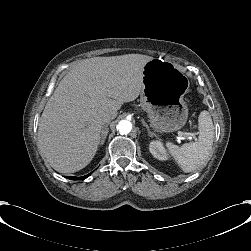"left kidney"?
I'll use <instances>...</instances> for the list:
<instances>
[{
  "label": "left kidney",
  "mask_w": 251,
  "mask_h": 251,
  "mask_svg": "<svg viewBox=\"0 0 251 251\" xmlns=\"http://www.w3.org/2000/svg\"><path fill=\"white\" fill-rule=\"evenodd\" d=\"M149 150H150L151 154L154 156V158H156L158 160H167L168 159V155H167V152L163 146V143L158 140L150 142Z\"/></svg>",
  "instance_id": "obj_1"
}]
</instances>
